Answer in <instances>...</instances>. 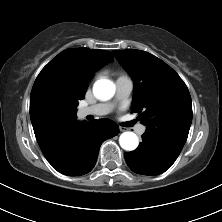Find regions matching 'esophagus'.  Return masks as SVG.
<instances>
[{
    "label": "esophagus",
    "mask_w": 222,
    "mask_h": 222,
    "mask_svg": "<svg viewBox=\"0 0 222 222\" xmlns=\"http://www.w3.org/2000/svg\"><path fill=\"white\" fill-rule=\"evenodd\" d=\"M119 130H120L121 132H124V131L127 130V128H126V127H123V126H119Z\"/></svg>",
    "instance_id": "1"
}]
</instances>
